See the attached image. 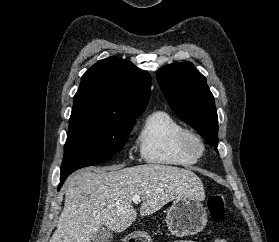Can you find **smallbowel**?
Segmentation results:
<instances>
[{"mask_svg": "<svg viewBox=\"0 0 279 242\" xmlns=\"http://www.w3.org/2000/svg\"><path fill=\"white\" fill-rule=\"evenodd\" d=\"M175 242H194V241L180 240V241H175ZM214 242H228V241L224 238H217L214 240Z\"/></svg>", "mask_w": 279, "mask_h": 242, "instance_id": "small-bowel-1", "label": "small bowel"}]
</instances>
